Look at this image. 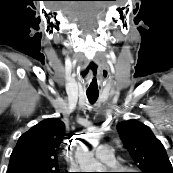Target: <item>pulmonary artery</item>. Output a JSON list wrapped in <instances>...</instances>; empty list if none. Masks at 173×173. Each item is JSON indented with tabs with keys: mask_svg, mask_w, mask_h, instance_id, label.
<instances>
[{
	"mask_svg": "<svg viewBox=\"0 0 173 173\" xmlns=\"http://www.w3.org/2000/svg\"><path fill=\"white\" fill-rule=\"evenodd\" d=\"M95 158L108 166L115 164L114 150L110 145H100L95 152Z\"/></svg>",
	"mask_w": 173,
	"mask_h": 173,
	"instance_id": "1",
	"label": "pulmonary artery"
}]
</instances>
